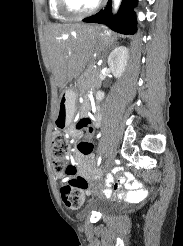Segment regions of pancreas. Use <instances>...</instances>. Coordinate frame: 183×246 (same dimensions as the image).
<instances>
[{"mask_svg": "<svg viewBox=\"0 0 183 246\" xmlns=\"http://www.w3.org/2000/svg\"><path fill=\"white\" fill-rule=\"evenodd\" d=\"M91 72H92V73H95V72H96V70H94V69H91Z\"/></svg>", "mask_w": 183, "mask_h": 246, "instance_id": "1", "label": "pancreas"}]
</instances>
